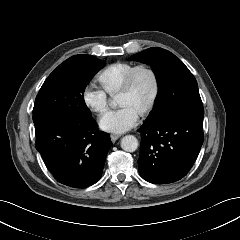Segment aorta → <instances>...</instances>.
Instances as JSON below:
<instances>
[{
  "label": "aorta",
  "mask_w": 240,
  "mask_h": 240,
  "mask_svg": "<svg viewBox=\"0 0 240 240\" xmlns=\"http://www.w3.org/2000/svg\"><path fill=\"white\" fill-rule=\"evenodd\" d=\"M121 148L126 152H134L138 148V140L133 135H126L121 139Z\"/></svg>",
  "instance_id": "aorta-1"
}]
</instances>
